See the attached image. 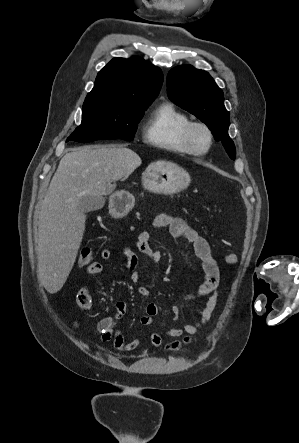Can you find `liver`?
<instances>
[{
    "mask_svg": "<svg viewBox=\"0 0 299 443\" xmlns=\"http://www.w3.org/2000/svg\"><path fill=\"white\" fill-rule=\"evenodd\" d=\"M141 163L133 150L113 145L75 148L61 159L38 221V278L47 292L61 290L75 263L86 222L79 199L111 193L112 183L128 177Z\"/></svg>",
    "mask_w": 299,
    "mask_h": 443,
    "instance_id": "liver-1",
    "label": "liver"
}]
</instances>
